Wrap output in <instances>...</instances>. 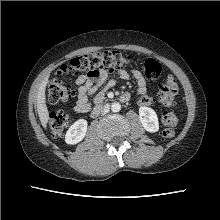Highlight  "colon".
I'll return each mask as SVG.
<instances>
[{
	"mask_svg": "<svg viewBox=\"0 0 220 220\" xmlns=\"http://www.w3.org/2000/svg\"><path fill=\"white\" fill-rule=\"evenodd\" d=\"M130 58L118 51H104L90 53L73 58L69 64L62 65L53 76L48 88V100L52 104L67 102L75 96V91L68 83V79L79 72H86L95 75L98 70L121 69L129 65ZM143 71L147 77L155 79L161 72V65L155 59H146L143 62ZM178 93V84L173 77H167L162 84L159 93V101L166 107H171ZM147 102V100H145ZM164 129L161 136L169 139L175 134V127L178 124V116L172 110H167L161 117ZM69 124L67 113L59 110L49 116V125L54 136L63 134Z\"/></svg>",
	"mask_w": 220,
	"mask_h": 220,
	"instance_id": "5ec220e1",
	"label": "colon"
}]
</instances>
